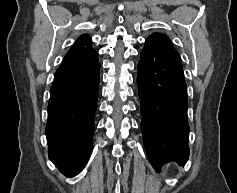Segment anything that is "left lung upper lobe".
<instances>
[{"label": "left lung upper lobe", "mask_w": 237, "mask_h": 193, "mask_svg": "<svg viewBox=\"0 0 237 193\" xmlns=\"http://www.w3.org/2000/svg\"><path fill=\"white\" fill-rule=\"evenodd\" d=\"M147 39L149 40H153V41H156L160 44H163V45H166V46H169L171 48L174 49L170 39L168 38V36L164 35V34H161V33H153L152 35H150Z\"/></svg>", "instance_id": "5c2ea615"}]
</instances>
